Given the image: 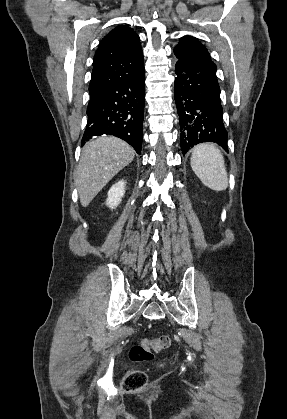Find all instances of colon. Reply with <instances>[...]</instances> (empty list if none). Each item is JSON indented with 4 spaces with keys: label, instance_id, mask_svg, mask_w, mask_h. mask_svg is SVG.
I'll return each instance as SVG.
<instances>
[{
    "label": "colon",
    "instance_id": "5ec220e1",
    "mask_svg": "<svg viewBox=\"0 0 287 419\" xmlns=\"http://www.w3.org/2000/svg\"><path fill=\"white\" fill-rule=\"evenodd\" d=\"M170 344L169 335H161L155 339H143L131 348L130 360L135 363L152 361L156 353L165 350ZM147 383L148 376L145 371L136 368L126 373L122 380V388L125 391H134L145 387Z\"/></svg>",
    "mask_w": 287,
    "mask_h": 419
}]
</instances>
